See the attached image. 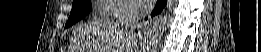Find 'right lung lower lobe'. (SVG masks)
I'll return each mask as SVG.
<instances>
[{
  "mask_svg": "<svg viewBox=\"0 0 261 52\" xmlns=\"http://www.w3.org/2000/svg\"><path fill=\"white\" fill-rule=\"evenodd\" d=\"M166 5V0H158L157 1V6L156 8L154 9V11L152 12V17L155 15V14H158L162 11V9L165 7Z\"/></svg>",
  "mask_w": 261,
  "mask_h": 52,
  "instance_id": "obj_1",
  "label": "right lung lower lobe"
}]
</instances>
